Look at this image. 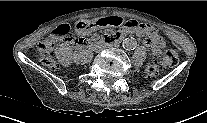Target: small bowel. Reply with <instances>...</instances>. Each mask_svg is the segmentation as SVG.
I'll use <instances>...</instances> for the list:
<instances>
[{
  "mask_svg": "<svg viewBox=\"0 0 207 123\" xmlns=\"http://www.w3.org/2000/svg\"><path fill=\"white\" fill-rule=\"evenodd\" d=\"M123 23L121 17H104L103 19L99 20L96 25L97 26H115L119 27ZM92 25L86 24L85 21H78L77 22V29L80 31H87ZM127 32H135L138 36L143 37L144 44L151 47V54L153 56H159L161 51L165 45L164 40L160 38L157 34L156 29L145 23H138L135 20H129L125 23V29L121 30L119 34H124ZM82 45L80 43H77Z\"/></svg>",
  "mask_w": 207,
  "mask_h": 123,
  "instance_id": "c3829d8e",
  "label": "small bowel"
}]
</instances>
